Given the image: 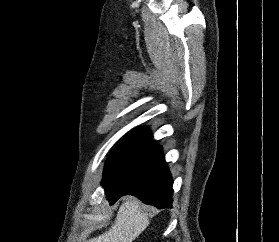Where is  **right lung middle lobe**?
Returning a JSON list of instances; mask_svg holds the SVG:
<instances>
[{"label": "right lung middle lobe", "mask_w": 279, "mask_h": 242, "mask_svg": "<svg viewBox=\"0 0 279 242\" xmlns=\"http://www.w3.org/2000/svg\"><path fill=\"white\" fill-rule=\"evenodd\" d=\"M152 140L148 129L129 132L115 147L105 165L103 181L113 175L125 162Z\"/></svg>", "instance_id": "1"}]
</instances>
